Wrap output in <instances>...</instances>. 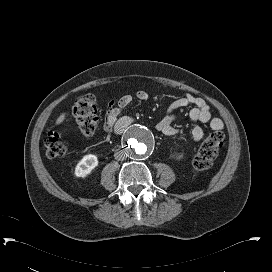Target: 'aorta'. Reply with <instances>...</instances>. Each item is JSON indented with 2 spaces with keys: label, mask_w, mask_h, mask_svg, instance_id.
<instances>
[{
  "label": "aorta",
  "mask_w": 272,
  "mask_h": 272,
  "mask_svg": "<svg viewBox=\"0 0 272 272\" xmlns=\"http://www.w3.org/2000/svg\"><path fill=\"white\" fill-rule=\"evenodd\" d=\"M154 145V136L145 126L134 125L125 132L124 146L128 155L134 159L148 156Z\"/></svg>",
  "instance_id": "aorta-1"
}]
</instances>
